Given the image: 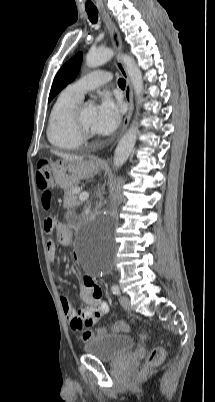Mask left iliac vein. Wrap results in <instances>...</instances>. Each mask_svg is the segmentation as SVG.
<instances>
[{
  "label": "left iliac vein",
  "mask_w": 215,
  "mask_h": 402,
  "mask_svg": "<svg viewBox=\"0 0 215 402\" xmlns=\"http://www.w3.org/2000/svg\"><path fill=\"white\" fill-rule=\"evenodd\" d=\"M121 306L125 309L130 311L131 310V305H130V299L126 295H121L119 298Z\"/></svg>",
  "instance_id": "obj_1"
}]
</instances>
